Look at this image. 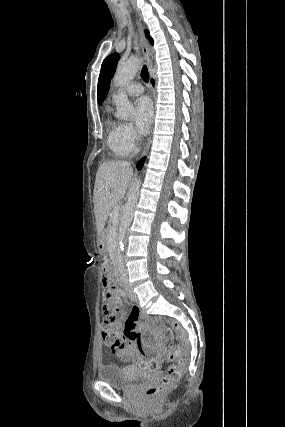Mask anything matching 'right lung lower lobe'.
Returning a JSON list of instances; mask_svg holds the SVG:
<instances>
[{
  "label": "right lung lower lobe",
  "mask_w": 285,
  "mask_h": 427,
  "mask_svg": "<svg viewBox=\"0 0 285 427\" xmlns=\"http://www.w3.org/2000/svg\"><path fill=\"white\" fill-rule=\"evenodd\" d=\"M151 82L152 83H154V81H153V79H151ZM145 157L144 158H142L138 163H137V168H138V170H141V168H142V166H143V164H144V162H145Z\"/></svg>",
  "instance_id": "right-lung-lower-lobe-1"
}]
</instances>
